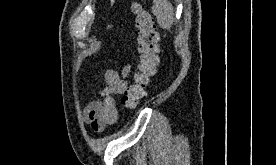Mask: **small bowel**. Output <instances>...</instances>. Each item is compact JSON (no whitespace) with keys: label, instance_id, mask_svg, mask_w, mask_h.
Returning a JSON list of instances; mask_svg holds the SVG:
<instances>
[{"label":"small bowel","instance_id":"c3829d8e","mask_svg":"<svg viewBox=\"0 0 276 165\" xmlns=\"http://www.w3.org/2000/svg\"><path fill=\"white\" fill-rule=\"evenodd\" d=\"M130 66L127 65L121 72L108 69L104 73L106 87L102 91L103 101L94 102L87 106L83 112L86 123L94 131H102L106 126L116 122L118 111L115 107L113 96L122 95L127 90V77Z\"/></svg>","mask_w":276,"mask_h":165}]
</instances>
